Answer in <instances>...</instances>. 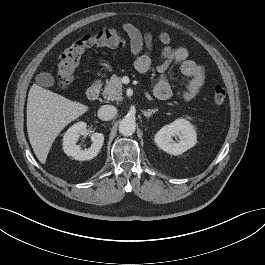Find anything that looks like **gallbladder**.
Returning <instances> with one entry per match:
<instances>
[{
  "instance_id": "obj_1",
  "label": "gallbladder",
  "mask_w": 265,
  "mask_h": 265,
  "mask_svg": "<svg viewBox=\"0 0 265 265\" xmlns=\"http://www.w3.org/2000/svg\"><path fill=\"white\" fill-rule=\"evenodd\" d=\"M36 82L42 87H53L55 78L50 73L44 72L36 76Z\"/></svg>"
}]
</instances>
